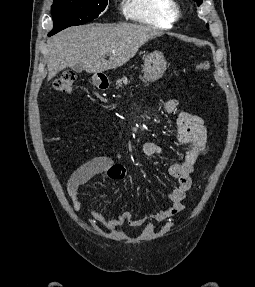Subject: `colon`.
<instances>
[{
    "mask_svg": "<svg viewBox=\"0 0 255 287\" xmlns=\"http://www.w3.org/2000/svg\"><path fill=\"white\" fill-rule=\"evenodd\" d=\"M210 64L208 61H200L196 64V70L200 72L208 71ZM75 74L72 71H65L54 82V88L62 93L71 94L74 90Z\"/></svg>",
    "mask_w": 255,
    "mask_h": 287,
    "instance_id": "5ec220e1",
    "label": "colon"
}]
</instances>
